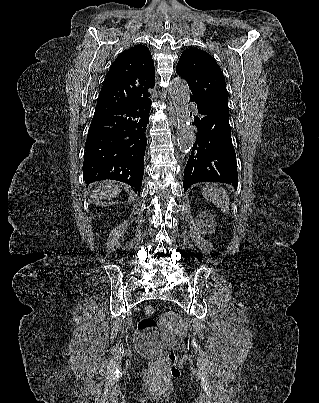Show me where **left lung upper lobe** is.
Returning a JSON list of instances; mask_svg holds the SVG:
<instances>
[{
	"label": "left lung upper lobe",
	"mask_w": 319,
	"mask_h": 403,
	"mask_svg": "<svg viewBox=\"0 0 319 403\" xmlns=\"http://www.w3.org/2000/svg\"><path fill=\"white\" fill-rule=\"evenodd\" d=\"M176 73L187 81L192 93L228 99L223 73L207 52L193 47L185 50L177 64Z\"/></svg>",
	"instance_id": "5c2ea615"
}]
</instances>
